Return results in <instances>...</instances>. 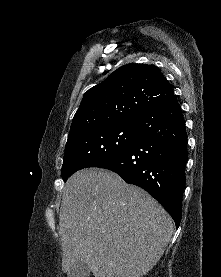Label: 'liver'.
Returning a JSON list of instances; mask_svg holds the SVG:
<instances>
[{"instance_id":"obj_1","label":"liver","mask_w":221,"mask_h":277,"mask_svg":"<svg viewBox=\"0 0 221 277\" xmlns=\"http://www.w3.org/2000/svg\"><path fill=\"white\" fill-rule=\"evenodd\" d=\"M174 231L166 210L116 173L89 168L68 178L59 213L62 270L87 264L95 277H142Z\"/></svg>"}]
</instances>
